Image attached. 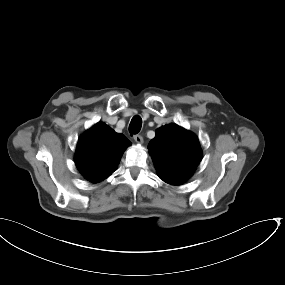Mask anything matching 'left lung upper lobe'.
<instances>
[{
    "instance_id": "left-lung-upper-lobe-1",
    "label": "left lung upper lobe",
    "mask_w": 285,
    "mask_h": 285,
    "mask_svg": "<svg viewBox=\"0 0 285 285\" xmlns=\"http://www.w3.org/2000/svg\"><path fill=\"white\" fill-rule=\"evenodd\" d=\"M148 149L159 177L171 185L190 178L202 159L196 135L173 123L156 130Z\"/></svg>"
}]
</instances>
